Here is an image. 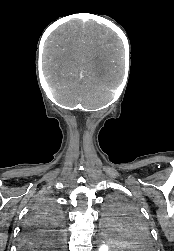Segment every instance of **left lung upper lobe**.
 Wrapping results in <instances>:
<instances>
[{
	"label": "left lung upper lobe",
	"mask_w": 174,
	"mask_h": 251,
	"mask_svg": "<svg viewBox=\"0 0 174 251\" xmlns=\"http://www.w3.org/2000/svg\"><path fill=\"white\" fill-rule=\"evenodd\" d=\"M106 213L111 227L121 222L132 247L138 251H151L152 240L148 227L139 217L136 209L122 198L114 196L107 202Z\"/></svg>",
	"instance_id": "left-lung-upper-lobe-1"
}]
</instances>
